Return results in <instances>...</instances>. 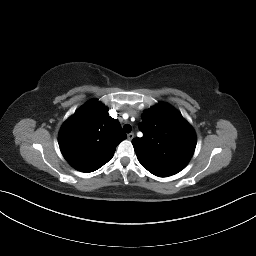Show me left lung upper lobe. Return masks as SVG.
I'll use <instances>...</instances> for the list:
<instances>
[{"label":"left lung upper lobe","instance_id":"obj_1","mask_svg":"<svg viewBox=\"0 0 256 256\" xmlns=\"http://www.w3.org/2000/svg\"><path fill=\"white\" fill-rule=\"evenodd\" d=\"M141 118L143 137L132 140L141 165L159 177L181 171L196 147V134L190 124L166 103L146 110Z\"/></svg>","mask_w":256,"mask_h":256}]
</instances>
